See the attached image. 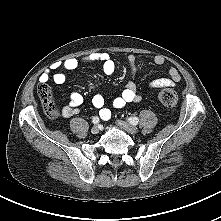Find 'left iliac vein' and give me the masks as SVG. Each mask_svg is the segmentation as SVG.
<instances>
[{
    "label": "left iliac vein",
    "instance_id": "1",
    "mask_svg": "<svg viewBox=\"0 0 221 221\" xmlns=\"http://www.w3.org/2000/svg\"><path fill=\"white\" fill-rule=\"evenodd\" d=\"M117 125L130 134H136L138 132V128L136 126L130 125L124 121H117Z\"/></svg>",
    "mask_w": 221,
    "mask_h": 221
}]
</instances>
